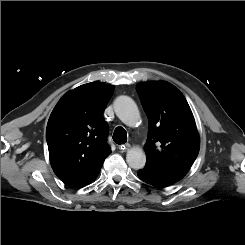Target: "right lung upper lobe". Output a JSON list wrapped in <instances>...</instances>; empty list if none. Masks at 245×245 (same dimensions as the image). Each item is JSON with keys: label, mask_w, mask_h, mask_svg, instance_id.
Returning <instances> with one entry per match:
<instances>
[{"label": "right lung upper lobe", "mask_w": 245, "mask_h": 245, "mask_svg": "<svg viewBox=\"0 0 245 245\" xmlns=\"http://www.w3.org/2000/svg\"><path fill=\"white\" fill-rule=\"evenodd\" d=\"M114 86L102 82L81 85L66 93L52 111L46 129L50 162L68 186L95 180L111 153L102 113Z\"/></svg>", "instance_id": "cb5924a9"}]
</instances>
